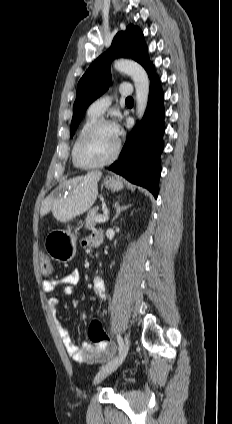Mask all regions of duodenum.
I'll list each match as a JSON object with an SVG mask.
<instances>
[{"mask_svg": "<svg viewBox=\"0 0 232 424\" xmlns=\"http://www.w3.org/2000/svg\"><path fill=\"white\" fill-rule=\"evenodd\" d=\"M102 240H103V234L100 232V234L97 237L95 246H99L102 243Z\"/></svg>", "mask_w": 232, "mask_h": 424, "instance_id": "duodenum-1", "label": "duodenum"}]
</instances>
